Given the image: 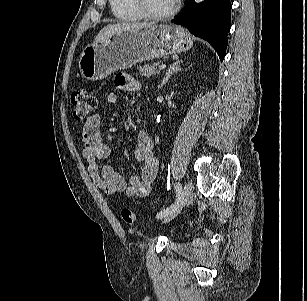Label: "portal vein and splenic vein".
Instances as JSON below:
<instances>
[{
  "mask_svg": "<svg viewBox=\"0 0 307 301\" xmlns=\"http://www.w3.org/2000/svg\"><path fill=\"white\" fill-rule=\"evenodd\" d=\"M159 70H163V69H165L166 68V65L165 64H161V65H159Z\"/></svg>",
  "mask_w": 307,
  "mask_h": 301,
  "instance_id": "portal-vein-and-splenic-vein-1",
  "label": "portal vein and splenic vein"
}]
</instances>
